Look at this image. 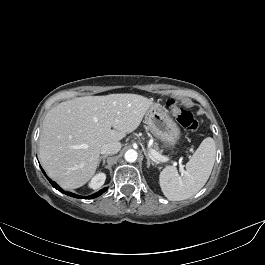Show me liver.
<instances>
[{"label": "liver", "mask_w": 265, "mask_h": 265, "mask_svg": "<svg viewBox=\"0 0 265 265\" xmlns=\"http://www.w3.org/2000/svg\"><path fill=\"white\" fill-rule=\"evenodd\" d=\"M153 104L137 94L86 96L58 104L46 114L39 138L43 168L66 190L83 186L96 172L101 147L119 143L137 129Z\"/></svg>", "instance_id": "1"}]
</instances>
